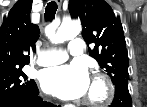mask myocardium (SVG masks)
Wrapping results in <instances>:
<instances>
[{
  "mask_svg": "<svg viewBox=\"0 0 147 107\" xmlns=\"http://www.w3.org/2000/svg\"><path fill=\"white\" fill-rule=\"evenodd\" d=\"M92 83L99 86L100 92L96 96H87L84 103L92 106L109 103L114 95V86L112 82L104 75H96L92 78Z\"/></svg>",
  "mask_w": 147,
  "mask_h": 107,
  "instance_id": "obj_1",
  "label": "myocardium"
}]
</instances>
